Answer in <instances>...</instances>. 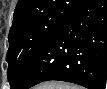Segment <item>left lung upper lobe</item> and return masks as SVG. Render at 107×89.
I'll return each mask as SVG.
<instances>
[{
    "instance_id": "1",
    "label": "left lung upper lobe",
    "mask_w": 107,
    "mask_h": 89,
    "mask_svg": "<svg viewBox=\"0 0 107 89\" xmlns=\"http://www.w3.org/2000/svg\"><path fill=\"white\" fill-rule=\"evenodd\" d=\"M86 0H19L9 32L8 81L17 84L41 48Z\"/></svg>"
}]
</instances>
